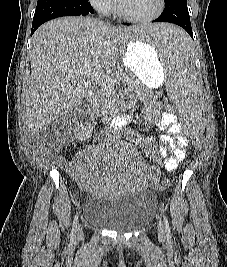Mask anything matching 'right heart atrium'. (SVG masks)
Masks as SVG:
<instances>
[{
    "mask_svg": "<svg viewBox=\"0 0 227 267\" xmlns=\"http://www.w3.org/2000/svg\"><path fill=\"white\" fill-rule=\"evenodd\" d=\"M92 7L103 14H110L115 8V0H88Z\"/></svg>",
    "mask_w": 227,
    "mask_h": 267,
    "instance_id": "right-heart-atrium-1",
    "label": "right heart atrium"
}]
</instances>
